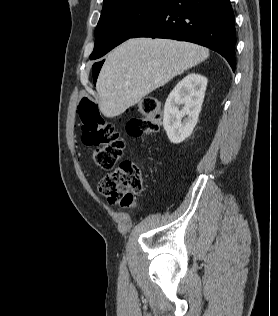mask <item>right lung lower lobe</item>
Wrapping results in <instances>:
<instances>
[{
	"label": "right lung lower lobe",
	"instance_id": "obj_1",
	"mask_svg": "<svg viewBox=\"0 0 278 316\" xmlns=\"http://www.w3.org/2000/svg\"><path fill=\"white\" fill-rule=\"evenodd\" d=\"M134 37L189 41L221 54L235 71V24L230 0H167ZM94 80L97 74L93 75Z\"/></svg>",
	"mask_w": 278,
	"mask_h": 316
}]
</instances>
